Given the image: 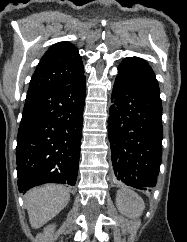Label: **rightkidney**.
I'll return each instance as SVG.
<instances>
[{"label": "right kidney", "instance_id": "1", "mask_svg": "<svg viewBox=\"0 0 187 242\" xmlns=\"http://www.w3.org/2000/svg\"><path fill=\"white\" fill-rule=\"evenodd\" d=\"M55 226L54 225H50L48 226L47 228H45L44 232H45V235H48L50 232H52L54 230ZM44 242V240L42 241ZM46 242V241H45Z\"/></svg>", "mask_w": 187, "mask_h": 242}]
</instances>
